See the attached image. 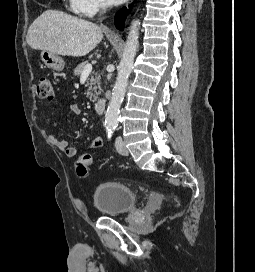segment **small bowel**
<instances>
[{
	"label": "small bowel",
	"instance_id": "1",
	"mask_svg": "<svg viewBox=\"0 0 255 272\" xmlns=\"http://www.w3.org/2000/svg\"><path fill=\"white\" fill-rule=\"evenodd\" d=\"M70 109L74 115L81 114V109L76 104H72L70 106ZM57 126H58V122H54L53 127H57ZM49 141L52 145L62 150L67 157L73 158L77 155V148L75 146L70 145L68 141L58 138L55 135H50ZM103 144H104L103 139L101 137H97L94 140H92L87 147L89 149H98V148H101Z\"/></svg>",
	"mask_w": 255,
	"mask_h": 272
}]
</instances>
